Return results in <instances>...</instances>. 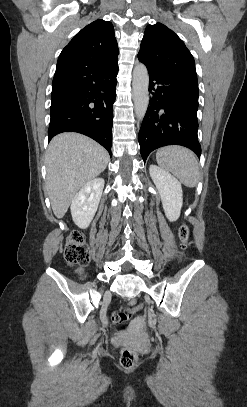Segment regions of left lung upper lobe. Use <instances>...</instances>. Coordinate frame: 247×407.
<instances>
[{"instance_id": "5c2ea615", "label": "left lung upper lobe", "mask_w": 247, "mask_h": 407, "mask_svg": "<svg viewBox=\"0 0 247 407\" xmlns=\"http://www.w3.org/2000/svg\"><path fill=\"white\" fill-rule=\"evenodd\" d=\"M138 58L154 70L197 80L193 56L183 41L161 23L146 27Z\"/></svg>"}]
</instances>
